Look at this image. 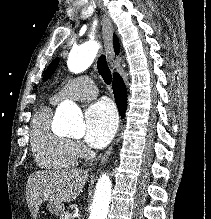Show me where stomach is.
I'll use <instances>...</instances> for the list:
<instances>
[{
  "instance_id": "0dacf381",
  "label": "stomach",
  "mask_w": 211,
  "mask_h": 219,
  "mask_svg": "<svg viewBox=\"0 0 211 219\" xmlns=\"http://www.w3.org/2000/svg\"><path fill=\"white\" fill-rule=\"evenodd\" d=\"M47 209L51 214H54L56 216H60L64 212L63 204H59L51 201L47 203Z\"/></svg>"
}]
</instances>
